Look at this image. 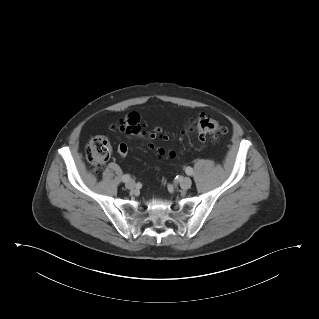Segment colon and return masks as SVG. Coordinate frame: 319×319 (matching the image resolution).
I'll return each instance as SVG.
<instances>
[{"label": "colon", "instance_id": "obj_1", "mask_svg": "<svg viewBox=\"0 0 319 319\" xmlns=\"http://www.w3.org/2000/svg\"><path fill=\"white\" fill-rule=\"evenodd\" d=\"M120 129L123 133L134 138L162 137V133L159 129H155L153 132L146 131L141 123L139 115L136 113L128 114L123 119ZM191 131L202 139H218L227 133V127L209 115L200 114L192 120ZM127 152L128 147L126 144L122 143L118 146V153L121 156H125ZM85 154L87 159L96 169L102 168L111 154V146L108 138L103 135L91 137L87 143ZM158 154L170 158L175 157L173 151L166 152L162 149L158 150Z\"/></svg>", "mask_w": 319, "mask_h": 319}]
</instances>
